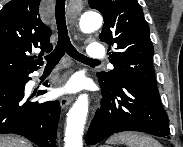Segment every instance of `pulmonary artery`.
Segmentation results:
<instances>
[{
  "mask_svg": "<svg viewBox=\"0 0 183 147\" xmlns=\"http://www.w3.org/2000/svg\"><path fill=\"white\" fill-rule=\"evenodd\" d=\"M88 57L101 59L105 56V50L100 43H92L87 48Z\"/></svg>",
  "mask_w": 183,
  "mask_h": 147,
  "instance_id": "pulmonary-artery-1",
  "label": "pulmonary artery"
}]
</instances>
